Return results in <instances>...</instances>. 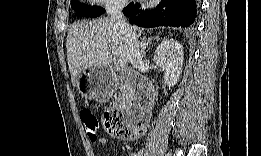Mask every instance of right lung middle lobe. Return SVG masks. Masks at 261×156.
I'll return each instance as SVG.
<instances>
[{
	"label": "right lung middle lobe",
	"mask_w": 261,
	"mask_h": 156,
	"mask_svg": "<svg viewBox=\"0 0 261 156\" xmlns=\"http://www.w3.org/2000/svg\"><path fill=\"white\" fill-rule=\"evenodd\" d=\"M72 8L78 12V16H83V17H97L103 13H105V9L102 7H88L87 5L84 4H72Z\"/></svg>",
	"instance_id": "dd1d6c3e"
}]
</instances>
